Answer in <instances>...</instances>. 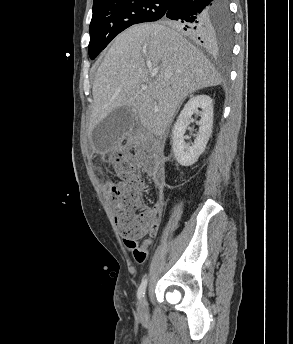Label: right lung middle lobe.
<instances>
[{"label":"right lung middle lobe","instance_id":"right-lung-middle-lobe-1","mask_svg":"<svg viewBox=\"0 0 293 344\" xmlns=\"http://www.w3.org/2000/svg\"><path fill=\"white\" fill-rule=\"evenodd\" d=\"M171 0H113L93 6L90 23L89 56L93 60L120 32L143 22L164 17ZM174 25V24H173ZM214 44L229 50L232 41V22L227 0H217L212 18Z\"/></svg>","mask_w":293,"mask_h":344}]
</instances>
